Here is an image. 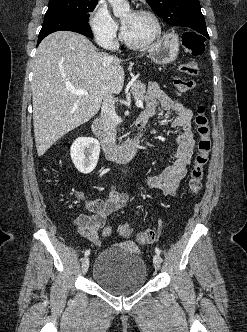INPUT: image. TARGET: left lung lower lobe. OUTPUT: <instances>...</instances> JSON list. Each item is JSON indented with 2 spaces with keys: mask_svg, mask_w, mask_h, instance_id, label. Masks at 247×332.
I'll use <instances>...</instances> for the list:
<instances>
[{
  "mask_svg": "<svg viewBox=\"0 0 247 332\" xmlns=\"http://www.w3.org/2000/svg\"><path fill=\"white\" fill-rule=\"evenodd\" d=\"M198 32L201 33L202 35H204L205 37L209 38L206 26H203V27L199 28Z\"/></svg>",
  "mask_w": 247,
  "mask_h": 332,
  "instance_id": "left-lung-lower-lobe-1",
  "label": "left lung lower lobe"
}]
</instances>
